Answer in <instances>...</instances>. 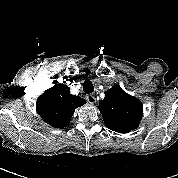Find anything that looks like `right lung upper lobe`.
<instances>
[{
    "label": "right lung upper lobe",
    "mask_w": 178,
    "mask_h": 178,
    "mask_svg": "<svg viewBox=\"0 0 178 178\" xmlns=\"http://www.w3.org/2000/svg\"><path fill=\"white\" fill-rule=\"evenodd\" d=\"M83 98L70 94V88L56 84L37 100V112L43 120L56 128L67 126L77 107L84 105Z\"/></svg>",
    "instance_id": "right-lung-upper-lobe-1"
}]
</instances>
